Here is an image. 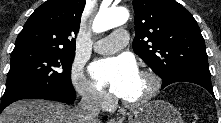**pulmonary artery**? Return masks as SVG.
Masks as SVG:
<instances>
[{"instance_id":"e3ab8cb5","label":"pulmonary artery","mask_w":221,"mask_h":123,"mask_svg":"<svg viewBox=\"0 0 221 123\" xmlns=\"http://www.w3.org/2000/svg\"><path fill=\"white\" fill-rule=\"evenodd\" d=\"M128 42V34L124 29H117L109 36L94 43V50L98 53L109 54L122 49Z\"/></svg>"}]
</instances>
